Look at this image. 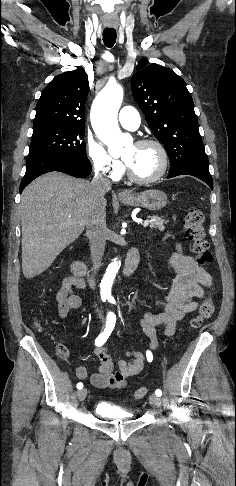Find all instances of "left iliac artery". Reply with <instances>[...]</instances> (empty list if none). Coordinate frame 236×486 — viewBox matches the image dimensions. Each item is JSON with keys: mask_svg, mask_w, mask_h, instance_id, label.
Wrapping results in <instances>:
<instances>
[{"mask_svg": "<svg viewBox=\"0 0 236 486\" xmlns=\"http://www.w3.org/2000/svg\"><path fill=\"white\" fill-rule=\"evenodd\" d=\"M110 301H111L112 303H114V301H113L112 299H111ZM146 356H147V360H148L149 362H151V361H152V359H153L152 353H151L150 351H147V352H146ZM155 394H156L157 396H159V397H160V396L162 395V391H161L160 389H157V390L155 391Z\"/></svg>", "mask_w": 236, "mask_h": 486, "instance_id": "44dca946", "label": "left iliac artery"}]
</instances>
